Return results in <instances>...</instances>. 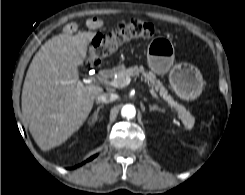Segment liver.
I'll return each instance as SVG.
<instances>
[{
	"mask_svg": "<svg viewBox=\"0 0 245 195\" xmlns=\"http://www.w3.org/2000/svg\"><path fill=\"white\" fill-rule=\"evenodd\" d=\"M93 32L49 39L35 54L22 89V113L37 145L44 151L65 142L92 110L99 86L78 81Z\"/></svg>",
	"mask_w": 245,
	"mask_h": 195,
	"instance_id": "obj_1",
	"label": "liver"
}]
</instances>
